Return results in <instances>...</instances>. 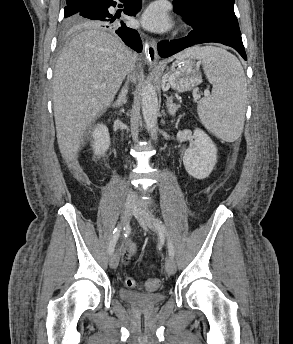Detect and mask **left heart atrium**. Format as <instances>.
Returning a JSON list of instances; mask_svg holds the SVG:
<instances>
[{"mask_svg":"<svg viewBox=\"0 0 293 344\" xmlns=\"http://www.w3.org/2000/svg\"><path fill=\"white\" fill-rule=\"evenodd\" d=\"M143 23L154 30L165 29L168 26V18L163 7L155 4L149 8L143 17Z\"/></svg>","mask_w":293,"mask_h":344,"instance_id":"39dd6f15","label":"left heart atrium"}]
</instances>
